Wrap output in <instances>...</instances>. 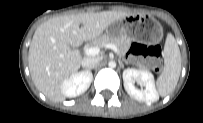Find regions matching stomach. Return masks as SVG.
I'll use <instances>...</instances> for the list:
<instances>
[{
  "label": "stomach",
  "instance_id": "obj_1",
  "mask_svg": "<svg viewBox=\"0 0 203 123\" xmlns=\"http://www.w3.org/2000/svg\"><path fill=\"white\" fill-rule=\"evenodd\" d=\"M107 34L123 35L129 40H143L150 44L158 43L163 36L161 25L154 18L139 15L138 19L115 22L107 28Z\"/></svg>",
  "mask_w": 203,
  "mask_h": 123
}]
</instances>
